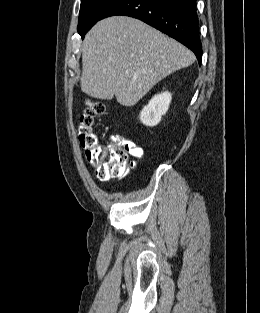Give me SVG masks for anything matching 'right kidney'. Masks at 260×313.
Masks as SVG:
<instances>
[{"label": "right kidney", "instance_id": "1", "mask_svg": "<svg viewBox=\"0 0 260 313\" xmlns=\"http://www.w3.org/2000/svg\"><path fill=\"white\" fill-rule=\"evenodd\" d=\"M172 95L168 91L155 95L140 113V120L146 126H156L168 111Z\"/></svg>", "mask_w": 260, "mask_h": 313}]
</instances>
